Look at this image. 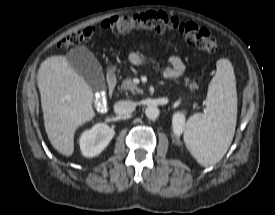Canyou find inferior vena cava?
I'll use <instances>...</instances> for the list:
<instances>
[{
  "mask_svg": "<svg viewBox=\"0 0 275 215\" xmlns=\"http://www.w3.org/2000/svg\"><path fill=\"white\" fill-rule=\"evenodd\" d=\"M134 102L129 100H123L115 103L114 112L119 115L129 114L134 111Z\"/></svg>",
  "mask_w": 275,
  "mask_h": 215,
  "instance_id": "602c4592",
  "label": "inferior vena cava"
}]
</instances>
